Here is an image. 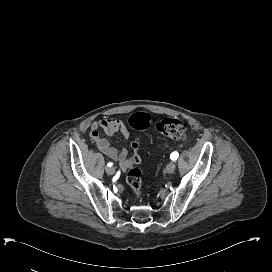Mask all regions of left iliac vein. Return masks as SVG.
<instances>
[{
  "mask_svg": "<svg viewBox=\"0 0 272 272\" xmlns=\"http://www.w3.org/2000/svg\"><path fill=\"white\" fill-rule=\"evenodd\" d=\"M175 169H176V163L174 161H171L166 166V172L167 173H173L175 171Z\"/></svg>",
  "mask_w": 272,
  "mask_h": 272,
  "instance_id": "obj_1",
  "label": "left iliac vein"
}]
</instances>
